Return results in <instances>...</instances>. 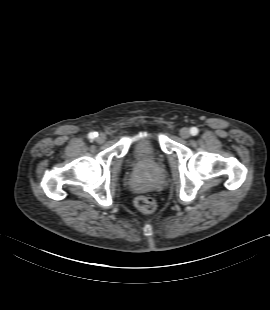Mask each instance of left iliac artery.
Masks as SVG:
<instances>
[{
    "instance_id": "44dca946",
    "label": "left iliac artery",
    "mask_w": 270,
    "mask_h": 310,
    "mask_svg": "<svg viewBox=\"0 0 270 310\" xmlns=\"http://www.w3.org/2000/svg\"><path fill=\"white\" fill-rule=\"evenodd\" d=\"M191 134L193 136L197 135L198 134V129L196 127H192L191 130H190Z\"/></svg>"
}]
</instances>
